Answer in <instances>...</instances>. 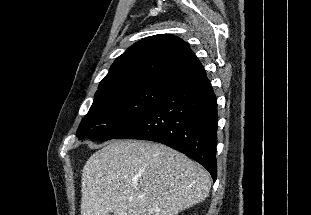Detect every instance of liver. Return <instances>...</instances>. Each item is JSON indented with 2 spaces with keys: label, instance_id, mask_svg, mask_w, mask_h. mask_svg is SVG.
Segmentation results:
<instances>
[{
  "label": "liver",
  "instance_id": "6515ba94",
  "mask_svg": "<svg viewBox=\"0 0 311 215\" xmlns=\"http://www.w3.org/2000/svg\"><path fill=\"white\" fill-rule=\"evenodd\" d=\"M81 215H178L209 194V173L163 144L114 141L83 167Z\"/></svg>",
  "mask_w": 311,
  "mask_h": 215
}]
</instances>
